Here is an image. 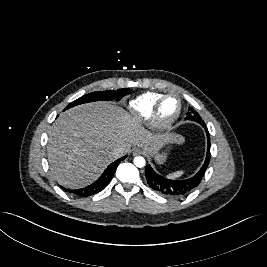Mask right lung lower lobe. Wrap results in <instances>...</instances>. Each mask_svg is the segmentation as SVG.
<instances>
[{
    "mask_svg": "<svg viewBox=\"0 0 267 267\" xmlns=\"http://www.w3.org/2000/svg\"><path fill=\"white\" fill-rule=\"evenodd\" d=\"M126 158V156L116 160L115 162L111 163L107 168L106 170L103 172V174L101 175V177L96 181L94 182L93 184L85 187V188H82V189H77V190H69V189H65L66 191L68 192H71L75 195H79V196H82V197H87V196H90V195H94L100 191H102L108 184L109 182L111 181L115 171H116V168L118 166V164L124 160Z\"/></svg>",
    "mask_w": 267,
    "mask_h": 267,
    "instance_id": "right-lung-lower-lobe-1",
    "label": "right lung lower lobe"
}]
</instances>
